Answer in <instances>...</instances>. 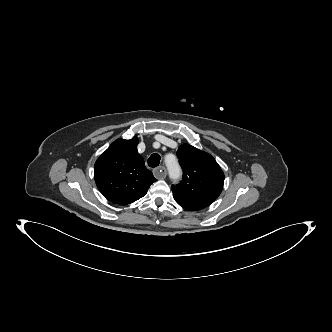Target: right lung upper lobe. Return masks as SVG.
Returning <instances> with one entry per match:
<instances>
[{
    "mask_svg": "<svg viewBox=\"0 0 332 332\" xmlns=\"http://www.w3.org/2000/svg\"><path fill=\"white\" fill-rule=\"evenodd\" d=\"M138 138L118 139L97 159L95 182L111 202L127 205L144 196L156 181L137 151Z\"/></svg>",
    "mask_w": 332,
    "mask_h": 332,
    "instance_id": "obj_1",
    "label": "right lung upper lobe"
}]
</instances>
